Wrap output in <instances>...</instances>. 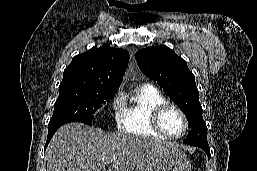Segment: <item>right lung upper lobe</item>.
Segmentation results:
<instances>
[{
	"label": "right lung upper lobe",
	"mask_w": 257,
	"mask_h": 171,
	"mask_svg": "<svg viewBox=\"0 0 257 171\" xmlns=\"http://www.w3.org/2000/svg\"><path fill=\"white\" fill-rule=\"evenodd\" d=\"M128 61L129 55L123 49L108 45L93 47L72 59L59 87L90 86L117 91Z\"/></svg>",
	"instance_id": "cb5924a9"
}]
</instances>
